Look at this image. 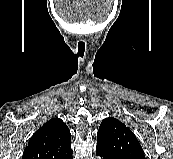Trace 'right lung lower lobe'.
Segmentation results:
<instances>
[{"label":"right lung lower lobe","mask_w":173,"mask_h":159,"mask_svg":"<svg viewBox=\"0 0 173 159\" xmlns=\"http://www.w3.org/2000/svg\"><path fill=\"white\" fill-rule=\"evenodd\" d=\"M73 153V152H72ZM72 153H70L69 155H67L66 157H64L63 159H73L72 157Z\"/></svg>","instance_id":"98d812e1"}]
</instances>
